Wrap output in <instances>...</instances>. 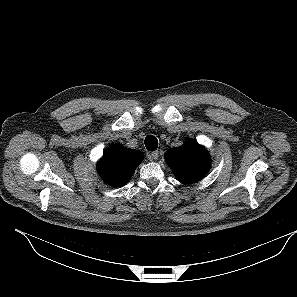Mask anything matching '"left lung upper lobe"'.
Instances as JSON below:
<instances>
[{"instance_id": "left-lung-upper-lobe-1", "label": "left lung upper lobe", "mask_w": 297, "mask_h": 297, "mask_svg": "<svg viewBox=\"0 0 297 297\" xmlns=\"http://www.w3.org/2000/svg\"><path fill=\"white\" fill-rule=\"evenodd\" d=\"M165 160L176 178L183 184H191L202 179L210 169L208 151L194 140H187L180 147L169 149Z\"/></svg>"}]
</instances>
